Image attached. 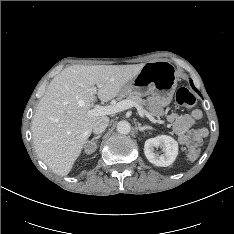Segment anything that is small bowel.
Listing matches in <instances>:
<instances>
[{
  "label": "small bowel",
  "instance_id": "small-bowel-1",
  "mask_svg": "<svg viewBox=\"0 0 234 234\" xmlns=\"http://www.w3.org/2000/svg\"><path fill=\"white\" fill-rule=\"evenodd\" d=\"M149 104L154 115H161L162 110L154 98L149 99ZM201 117L202 112L198 109L189 114L171 113L168 115V121L173 124L174 131L182 145H197L208 135L206 128H194Z\"/></svg>",
  "mask_w": 234,
  "mask_h": 234
}]
</instances>
